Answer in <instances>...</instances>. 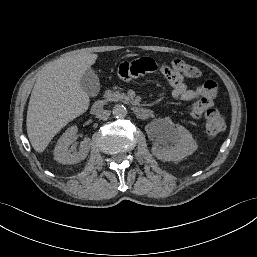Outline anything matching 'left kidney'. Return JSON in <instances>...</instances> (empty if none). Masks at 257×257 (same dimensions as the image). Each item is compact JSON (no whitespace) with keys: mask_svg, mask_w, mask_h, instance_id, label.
<instances>
[{"mask_svg":"<svg viewBox=\"0 0 257 257\" xmlns=\"http://www.w3.org/2000/svg\"><path fill=\"white\" fill-rule=\"evenodd\" d=\"M196 150L192 134L185 127L171 122L158 134L157 143L152 147L153 155L163 161L180 160Z\"/></svg>","mask_w":257,"mask_h":257,"instance_id":"obj_1","label":"left kidney"}]
</instances>
